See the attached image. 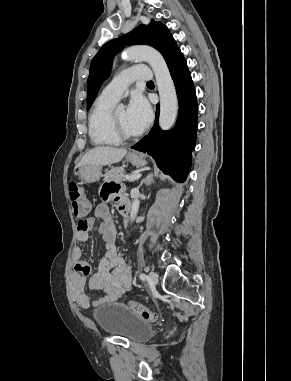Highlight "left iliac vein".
I'll return each mask as SVG.
<instances>
[{
  "instance_id": "obj_1",
  "label": "left iliac vein",
  "mask_w": 291,
  "mask_h": 381,
  "mask_svg": "<svg viewBox=\"0 0 291 381\" xmlns=\"http://www.w3.org/2000/svg\"><path fill=\"white\" fill-rule=\"evenodd\" d=\"M148 280L151 284V286L155 287L158 283V276L155 272L150 271L148 275Z\"/></svg>"
}]
</instances>
